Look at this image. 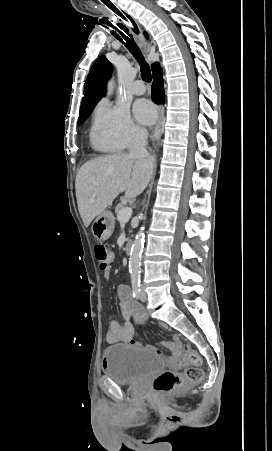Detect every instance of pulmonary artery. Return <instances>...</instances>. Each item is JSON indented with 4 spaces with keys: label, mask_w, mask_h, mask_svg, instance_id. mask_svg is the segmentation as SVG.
<instances>
[{
    "label": "pulmonary artery",
    "mask_w": 272,
    "mask_h": 451,
    "mask_svg": "<svg viewBox=\"0 0 272 451\" xmlns=\"http://www.w3.org/2000/svg\"><path fill=\"white\" fill-rule=\"evenodd\" d=\"M143 81L142 80H140V79H137V80H135V82H134V85H135V87H133L132 89H131V93L132 94H134V95H142L143 93H144V91H143Z\"/></svg>",
    "instance_id": "e3ab8cb5"
}]
</instances>
